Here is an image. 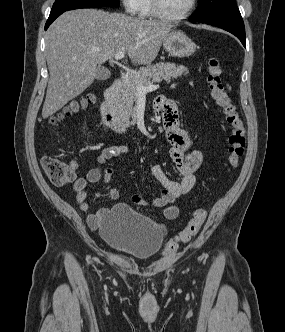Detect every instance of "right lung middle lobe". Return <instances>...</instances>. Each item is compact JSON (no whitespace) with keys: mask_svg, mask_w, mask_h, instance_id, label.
I'll return each instance as SVG.
<instances>
[{"mask_svg":"<svg viewBox=\"0 0 285 332\" xmlns=\"http://www.w3.org/2000/svg\"><path fill=\"white\" fill-rule=\"evenodd\" d=\"M119 0H56L51 12L67 11L78 8L117 7Z\"/></svg>","mask_w":285,"mask_h":332,"instance_id":"obj_1","label":"right lung middle lobe"}]
</instances>
